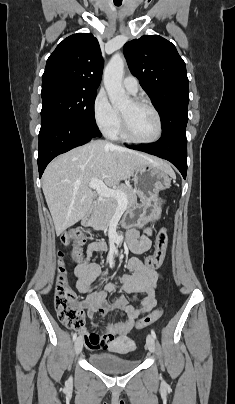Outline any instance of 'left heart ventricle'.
Returning <instances> with one entry per match:
<instances>
[{"instance_id": "1", "label": "left heart ventricle", "mask_w": 235, "mask_h": 404, "mask_svg": "<svg viewBox=\"0 0 235 404\" xmlns=\"http://www.w3.org/2000/svg\"><path fill=\"white\" fill-rule=\"evenodd\" d=\"M127 121L131 134L140 140H150L157 133V119L154 113L143 106H135L129 101L120 109Z\"/></svg>"}]
</instances>
